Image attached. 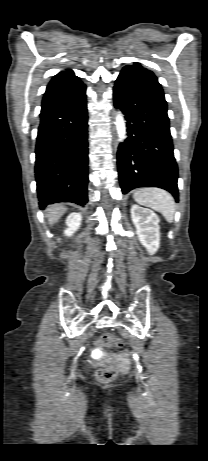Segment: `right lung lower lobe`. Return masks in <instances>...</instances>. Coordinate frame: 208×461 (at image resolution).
<instances>
[{
	"instance_id": "obj_1",
	"label": "right lung lower lobe",
	"mask_w": 208,
	"mask_h": 461,
	"mask_svg": "<svg viewBox=\"0 0 208 461\" xmlns=\"http://www.w3.org/2000/svg\"><path fill=\"white\" fill-rule=\"evenodd\" d=\"M35 177L40 208L88 201V142L85 92L78 99L41 110Z\"/></svg>"
}]
</instances>
